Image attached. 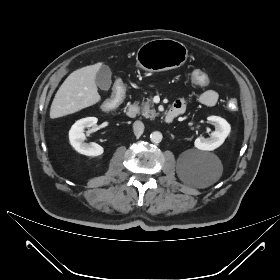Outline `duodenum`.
Listing matches in <instances>:
<instances>
[{
	"instance_id": "obj_1",
	"label": "duodenum",
	"mask_w": 280,
	"mask_h": 280,
	"mask_svg": "<svg viewBox=\"0 0 280 280\" xmlns=\"http://www.w3.org/2000/svg\"><path fill=\"white\" fill-rule=\"evenodd\" d=\"M183 111L180 108L170 107V109L165 114V121L167 123H171L178 115H180ZM138 114L137 105L130 103L126 107V115L130 118L136 117Z\"/></svg>"
}]
</instances>
